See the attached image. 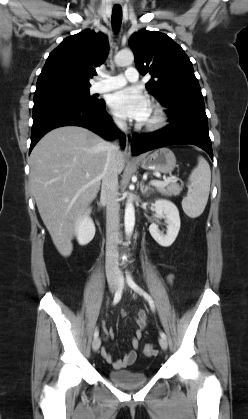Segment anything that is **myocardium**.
<instances>
[{
  "label": "myocardium",
  "instance_id": "1",
  "mask_svg": "<svg viewBox=\"0 0 248 419\" xmlns=\"http://www.w3.org/2000/svg\"><path fill=\"white\" fill-rule=\"evenodd\" d=\"M167 120L164 108L158 103L151 104V118L146 120L143 128L147 131H155L162 128Z\"/></svg>",
  "mask_w": 248,
  "mask_h": 419
}]
</instances>
